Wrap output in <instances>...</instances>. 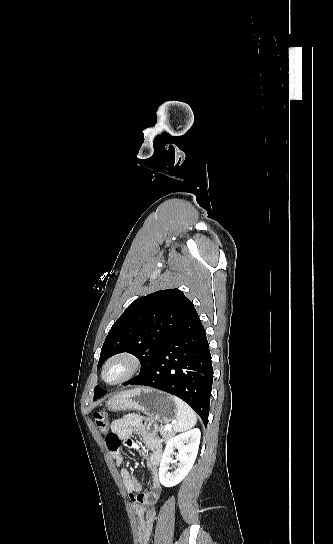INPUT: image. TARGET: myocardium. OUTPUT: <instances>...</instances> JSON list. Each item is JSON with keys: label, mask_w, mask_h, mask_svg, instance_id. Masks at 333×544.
Returning <instances> with one entry per match:
<instances>
[{"label": "myocardium", "mask_w": 333, "mask_h": 544, "mask_svg": "<svg viewBox=\"0 0 333 544\" xmlns=\"http://www.w3.org/2000/svg\"><path fill=\"white\" fill-rule=\"evenodd\" d=\"M115 364H123L125 371L118 379L110 381L107 379V371ZM142 362L136 355L129 352L117 353L106 360L101 369L102 380L110 386L121 385L131 379H133L141 370Z\"/></svg>", "instance_id": "f54148a6"}]
</instances>
